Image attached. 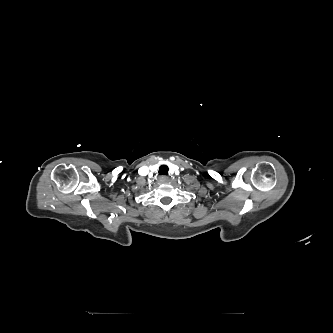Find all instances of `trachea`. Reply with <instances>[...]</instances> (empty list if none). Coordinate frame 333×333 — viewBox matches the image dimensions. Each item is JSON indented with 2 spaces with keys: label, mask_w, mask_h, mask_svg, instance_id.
<instances>
[{
  "label": "trachea",
  "mask_w": 333,
  "mask_h": 333,
  "mask_svg": "<svg viewBox=\"0 0 333 333\" xmlns=\"http://www.w3.org/2000/svg\"><path fill=\"white\" fill-rule=\"evenodd\" d=\"M168 170H169L168 166H166V165H161V166L159 167V174H160V175H168Z\"/></svg>",
  "instance_id": "1"
}]
</instances>
